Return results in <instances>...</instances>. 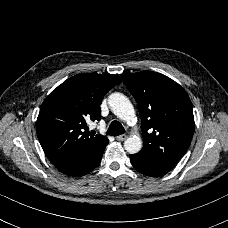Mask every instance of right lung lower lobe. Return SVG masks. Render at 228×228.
<instances>
[{"label": "right lung lower lobe", "mask_w": 228, "mask_h": 228, "mask_svg": "<svg viewBox=\"0 0 228 228\" xmlns=\"http://www.w3.org/2000/svg\"><path fill=\"white\" fill-rule=\"evenodd\" d=\"M107 144L108 140L98 144L88 154L75 161L54 165L59 171L68 176H83L99 165Z\"/></svg>", "instance_id": "1"}]
</instances>
